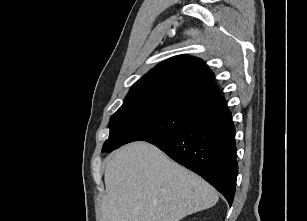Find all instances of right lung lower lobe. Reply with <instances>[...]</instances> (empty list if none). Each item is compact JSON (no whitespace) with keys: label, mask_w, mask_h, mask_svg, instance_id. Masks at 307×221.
Here are the masks:
<instances>
[{"label":"right lung lower lobe","mask_w":307,"mask_h":221,"mask_svg":"<svg viewBox=\"0 0 307 221\" xmlns=\"http://www.w3.org/2000/svg\"><path fill=\"white\" fill-rule=\"evenodd\" d=\"M234 135L231 112L223 103L209 109L187 127L147 142L200 175L231 205L238 174Z\"/></svg>","instance_id":"1"}]
</instances>
